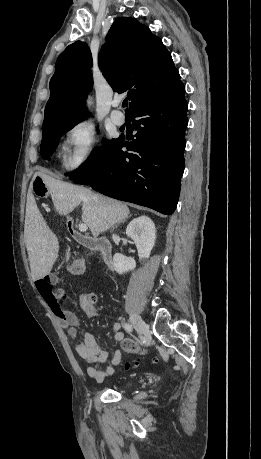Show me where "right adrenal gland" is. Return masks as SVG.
<instances>
[{
	"instance_id": "2a0ac1e0",
	"label": "right adrenal gland",
	"mask_w": 261,
	"mask_h": 459,
	"mask_svg": "<svg viewBox=\"0 0 261 459\" xmlns=\"http://www.w3.org/2000/svg\"><path fill=\"white\" fill-rule=\"evenodd\" d=\"M117 227H118V224H116L115 226H113V230H114L115 228H117Z\"/></svg>"
}]
</instances>
